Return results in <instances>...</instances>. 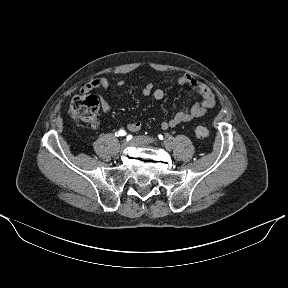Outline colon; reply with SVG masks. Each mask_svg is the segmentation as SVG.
<instances>
[{
    "mask_svg": "<svg viewBox=\"0 0 288 288\" xmlns=\"http://www.w3.org/2000/svg\"><path fill=\"white\" fill-rule=\"evenodd\" d=\"M98 99L94 95L82 94L74 97L70 103L69 113L71 117L89 124L97 121ZM198 138H206L210 135V129L199 125L195 128Z\"/></svg>",
    "mask_w": 288,
    "mask_h": 288,
    "instance_id": "1",
    "label": "colon"
}]
</instances>
